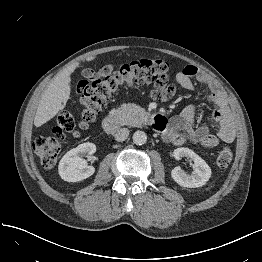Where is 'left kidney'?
I'll use <instances>...</instances> for the list:
<instances>
[{
  "mask_svg": "<svg viewBox=\"0 0 262 262\" xmlns=\"http://www.w3.org/2000/svg\"><path fill=\"white\" fill-rule=\"evenodd\" d=\"M173 156L176 159L182 157L190 158L193 163V171L188 173L182 170L180 167H175L171 176L175 182L182 187L197 188L206 184L211 177V169L209 165L195 152L189 148H177L173 152Z\"/></svg>",
  "mask_w": 262,
  "mask_h": 262,
  "instance_id": "5707ae66",
  "label": "left kidney"
}]
</instances>
